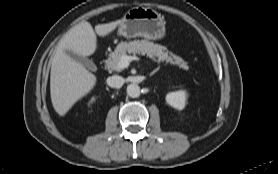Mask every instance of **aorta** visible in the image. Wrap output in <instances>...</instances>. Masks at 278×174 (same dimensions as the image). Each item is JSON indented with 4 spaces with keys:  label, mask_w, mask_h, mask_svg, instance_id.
<instances>
[{
    "label": "aorta",
    "mask_w": 278,
    "mask_h": 174,
    "mask_svg": "<svg viewBox=\"0 0 278 174\" xmlns=\"http://www.w3.org/2000/svg\"><path fill=\"white\" fill-rule=\"evenodd\" d=\"M127 94L132 98H137L141 94V89L135 83L130 84V85L127 86Z\"/></svg>",
    "instance_id": "762f6f07"
}]
</instances>
